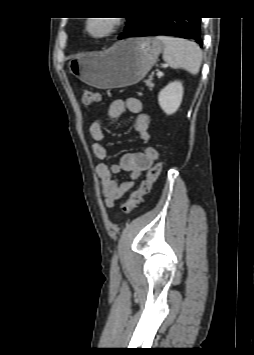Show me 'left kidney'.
<instances>
[{
  "instance_id": "obj_1",
  "label": "left kidney",
  "mask_w": 254,
  "mask_h": 355,
  "mask_svg": "<svg viewBox=\"0 0 254 355\" xmlns=\"http://www.w3.org/2000/svg\"><path fill=\"white\" fill-rule=\"evenodd\" d=\"M182 98L183 86L180 81L169 83L158 95L159 105L167 115H171L178 110Z\"/></svg>"
}]
</instances>
